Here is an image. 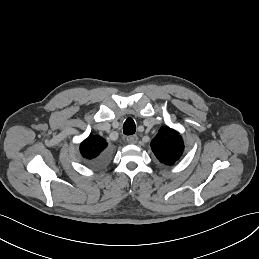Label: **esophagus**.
<instances>
[{
	"instance_id": "esophagus-1",
	"label": "esophagus",
	"mask_w": 259,
	"mask_h": 259,
	"mask_svg": "<svg viewBox=\"0 0 259 259\" xmlns=\"http://www.w3.org/2000/svg\"><path fill=\"white\" fill-rule=\"evenodd\" d=\"M137 139H138L137 135H131L126 138L129 144H135L137 142Z\"/></svg>"
}]
</instances>
